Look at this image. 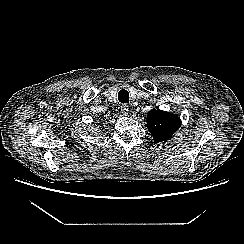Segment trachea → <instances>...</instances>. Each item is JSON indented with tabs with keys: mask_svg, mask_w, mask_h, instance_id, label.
Returning <instances> with one entry per match:
<instances>
[{
	"mask_svg": "<svg viewBox=\"0 0 244 244\" xmlns=\"http://www.w3.org/2000/svg\"><path fill=\"white\" fill-rule=\"evenodd\" d=\"M118 100L121 103H129V93H128V91L125 90V89L120 90L119 93H118Z\"/></svg>",
	"mask_w": 244,
	"mask_h": 244,
	"instance_id": "3493384b",
	"label": "trachea"
}]
</instances>
